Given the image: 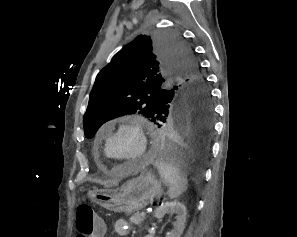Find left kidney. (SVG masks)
I'll return each instance as SVG.
<instances>
[{
  "mask_svg": "<svg viewBox=\"0 0 297 237\" xmlns=\"http://www.w3.org/2000/svg\"><path fill=\"white\" fill-rule=\"evenodd\" d=\"M168 213L176 214V221L173 224V229L167 234V237H181L186 222V207L183 203L173 201L165 202L161 204L159 208L155 211V217L160 219ZM145 237H153L151 234L146 235Z\"/></svg>",
  "mask_w": 297,
  "mask_h": 237,
  "instance_id": "5707ae66",
  "label": "left kidney"
}]
</instances>
